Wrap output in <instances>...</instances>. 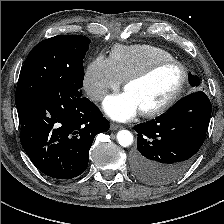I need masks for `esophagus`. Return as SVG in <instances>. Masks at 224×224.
Masks as SVG:
<instances>
[{
  "label": "esophagus",
  "mask_w": 224,
  "mask_h": 224,
  "mask_svg": "<svg viewBox=\"0 0 224 224\" xmlns=\"http://www.w3.org/2000/svg\"><path fill=\"white\" fill-rule=\"evenodd\" d=\"M122 126L119 125V124H115V123H111L110 124V129L111 130H117V129H120Z\"/></svg>",
  "instance_id": "1"
}]
</instances>
